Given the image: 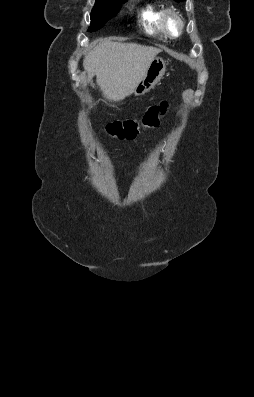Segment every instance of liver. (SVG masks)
I'll return each instance as SVG.
<instances>
[{
    "label": "liver",
    "mask_w": 254,
    "mask_h": 397,
    "mask_svg": "<svg viewBox=\"0 0 254 397\" xmlns=\"http://www.w3.org/2000/svg\"><path fill=\"white\" fill-rule=\"evenodd\" d=\"M159 49L137 43H99L83 60L88 81L96 75L103 95L110 101L130 96Z\"/></svg>",
    "instance_id": "liver-1"
}]
</instances>
